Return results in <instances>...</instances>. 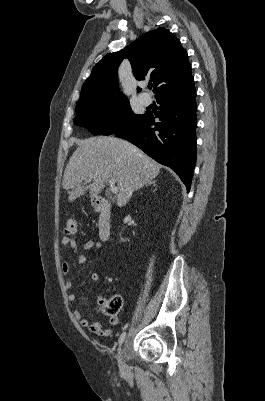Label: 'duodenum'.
I'll return each instance as SVG.
<instances>
[{
  "label": "duodenum",
  "mask_w": 265,
  "mask_h": 401,
  "mask_svg": "<svg viewBox=\"0 0 265 401\" xmlns=\"http://www.w3.org/2000/svg\"><path fill=\"white\" fill-rule=\"evenodd\" d=\"M94 209L98 213V233L101 240H108L111 235V205L103 197L94 199Z\"/></svg>",
  "instance_id": "duodenum-1"
}]
</instances>
